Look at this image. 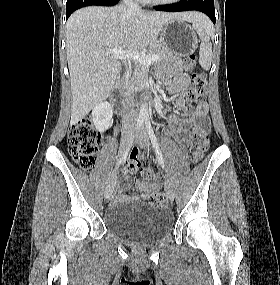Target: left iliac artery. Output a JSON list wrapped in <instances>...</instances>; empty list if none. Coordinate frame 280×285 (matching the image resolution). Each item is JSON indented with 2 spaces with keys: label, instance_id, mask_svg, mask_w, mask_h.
I'll return each instance as SVG.
<instances>
[{
  "label": "left iliac artery",
  "instance_id": "1",
  "mask_svg": "<svg viewBox=\"0 0 280 285\" xmlns=\"http://www.w3.org/2000/svg\"><path fill=\"white\" fill-rule=\"evenodd\" d=\"M145 125H146V128H147V131H148L150 140H151V142H152L153 148H154V150H155L157 160H158L159 164L161 165V167H162L163 169H165V164H164L163 155H162V152H161V150H160L159 143H158V141H157L156 135H155V133H154V131H153V128H152V126H151V123H150L148 117L145 118ZM165 170H166V169H165Z\"/></svg>",
  "mask_w": 280,
  "mask_h": 285
}]
</instances>
